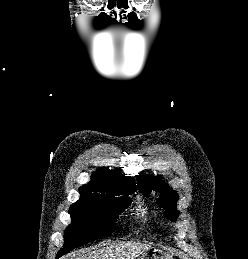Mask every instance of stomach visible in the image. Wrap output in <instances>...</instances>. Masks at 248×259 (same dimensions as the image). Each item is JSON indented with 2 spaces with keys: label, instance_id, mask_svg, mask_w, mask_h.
<instances>
[{
  "label": "stomach",
  "instance_id": "0dacf381",
  "mask_svg": "<svg viewBox=\"0 0 248 259\" xmlns=\"http://www.w3.org/2000/svg\"><path fill=\"white\" fill-rule=\"evenodd\" d=\"M135 259H173L168 253L162 252L155 248H150L141 254H139Z\"/></svg>",
  "mask_w": 248,
  "mask_h": 259
}]
</instances>
